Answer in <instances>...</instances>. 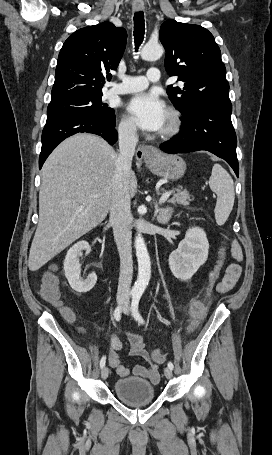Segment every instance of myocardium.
Returning <instances> with one entry per match:
<instances>
[{
  "label": "myocardium",
  "mask_w": 272,
  "mask_h": 455,
  "mask_svg": "<svg viewBox=\"0 0 272 455\" xmlns=\"http://www.w3.org/2000/svg\"><path fill=\"white\" fill-rule=\"evenodd\" d=\"M181 128V118L178 111L170 109L167 113V124L161 132V137L164 139L175 136Z\"/></svg>",
  "instance_id": "obj_1"
}]
</instances>
